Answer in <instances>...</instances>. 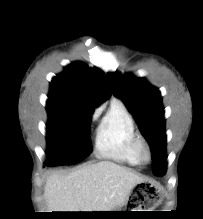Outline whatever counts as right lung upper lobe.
Wrapping results in <instances>:
<instances>
[{
  "label": "right lung upper lobe",
  "mask_w": 203,
  "mask_h": 219,
  "mask_svg": "<svg viewBox=\"0 0 203 219\" xmlns=\"http://www.w3.org/2000/svg\"><path fill=\"white\" fill-rule=\"evenodd\" d=\"M103 72L98 68L89 69L83 63H73L50 83V95L83 103L93 110L110 97Z\"/></svg>",
  "instance_id": "cb5924a9"
}]
</instances>
